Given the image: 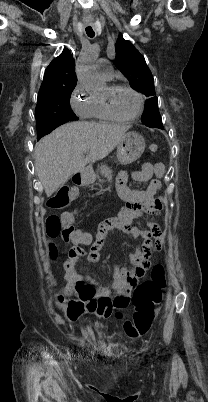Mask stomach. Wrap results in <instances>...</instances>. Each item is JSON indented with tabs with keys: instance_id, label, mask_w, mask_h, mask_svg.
<instances>
[{
	"instance_id": "stomach-1",
	"label": "stomach",
	"mask_w": 208,
	"mask_h": 402,
	"mask_svg": "<svg viewBox=\"0 0 208 402\" xmlns=\"http://www.w3.org/2000/svg\"><path fill=\"white\" fill-rule=\"evenodd\" d=\"M145 150V140L136 134V132H128L125 134L123 140L117 146V160L120 164H132L142 156ZM95 176H88L83 178L84 184H93Z\"/></svg>"
}]
</instances>
